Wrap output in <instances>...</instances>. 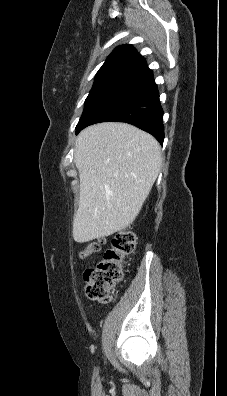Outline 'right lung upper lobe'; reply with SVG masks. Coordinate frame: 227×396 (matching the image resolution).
<instances>
[{"mask_svg":"<svg viewBox=\"0 0 227 396\" xmlns=\"http://www.w3.org/2000/svg\"><path fill=\"white\" fill-rule=\"evenodd\" d=\"M144 65L145 59L132 45H121L113 50L98 72L118 69L135 72Z\"/></svg>","mask_w":227,"mask_h":396,"instance_id":"obj_1","label":"right lung upper lobe"}]
</instances>
